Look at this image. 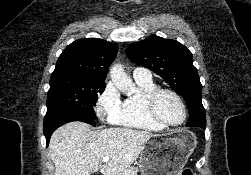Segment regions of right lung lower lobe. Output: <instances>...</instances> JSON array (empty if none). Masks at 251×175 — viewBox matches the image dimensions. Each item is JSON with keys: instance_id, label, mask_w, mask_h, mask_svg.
Here are the masks:
<instances>
[{"instance_id": "right-lung-lower-lobe-1", "label": "right lung lower lobe", "mask_w": 251, "mask_h": 175, "mask_svg": "<svg viewBox=\"0 0 251 175\" xmlns=\"http://www.w3.org/2000/svg\"><path fill=\"white\" fill-rule=\"evenodd\" d=\"M72 121H82V122L95 126V120H91L90 118L81 114L69 113V114H58V115H52L50 117H45L44 118V135L47 141V145L49 143L51 134L58 127Z\"/></svg>"}]
</instances>
